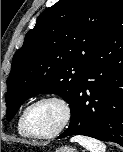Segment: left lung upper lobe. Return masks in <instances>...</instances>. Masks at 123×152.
<instances>
[{
    "label": "left lung upper lobe",
    "instance_id": "obj_1",
    "mask_svg": "<svg viewBox=\"0 0 123 152\" xmlns=\"http://www.w3.org/2000/svg\"><path fill=\"white\" fill-rule=\"evenodd\" d=\"M121 0H59L37 19L13 57L7 79V120L29 98L57 94L72 103L84 65Z\"/></svg>",
    "mask_w": 123,
    "mask_h": 152
}]
</instances>
